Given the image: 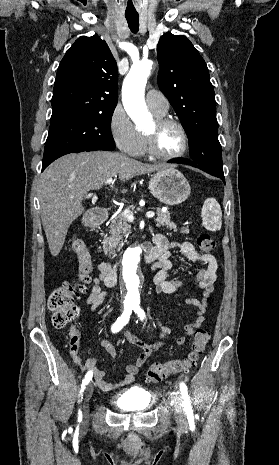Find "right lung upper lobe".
I'll return each instance as SVG.
<instances>
[{"label":"right lung upper lobe","instance_id":"right-lung-upper-lobe-1","mask_svg":"<svg viewBox=\"0 0 279 465\" xmlns=\"http://www.w3.org/2000/svg\"><path fill=\"white\" fill-rule=\"evenodd\" d=\"M116 61L100 37L82 36L60 62L54 83L50 123L115 109Z\"/></svg>","mask_w":279,"mask_h":465}]
</instances>
